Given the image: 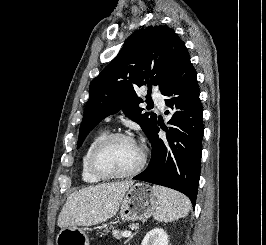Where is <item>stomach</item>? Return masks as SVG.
Segmentation results:
<instances>
[{"label":"stomach","instance_id":"stomach-1","mask_svg":"<svg viewBox=\"0 0 266 245\" xmlns=\"http://www.w3.org/2000/svg\"><path fill=\"white\" fill-rule=\"evenodd\" d=\"M158 199L150 185L136 183L124 195L119 207L122 221H146L154 215ZM57 245H90L88 235L78 227H64L57 237Z\"/></svg>","mask_w":266,"mask_h":245}]
</instances>
